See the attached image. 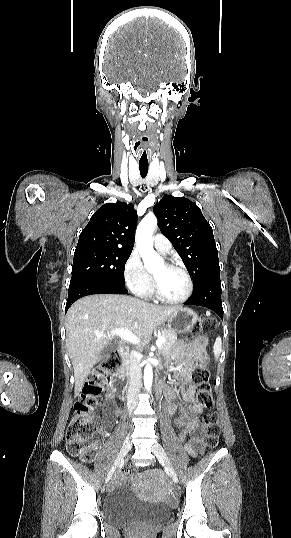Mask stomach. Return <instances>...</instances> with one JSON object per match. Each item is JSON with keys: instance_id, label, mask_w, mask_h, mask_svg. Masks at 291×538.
<instances>
[{"instance_id": "0dacf381", "label": "stomach", "mask_w": 291, "mask_h": 538, "mask_svg": "<svg viewBox=\"0 0 291 538\" xmlns=\"http://www.w3.org/2000/svg\"><path fill=\"white\" fill-rule=\"evenodd\" d=\"M197 319V314L193 310L180 307L168 318V329L176 334L188 332Z\"/></svg>"}]
</instances>
